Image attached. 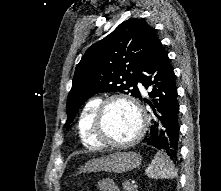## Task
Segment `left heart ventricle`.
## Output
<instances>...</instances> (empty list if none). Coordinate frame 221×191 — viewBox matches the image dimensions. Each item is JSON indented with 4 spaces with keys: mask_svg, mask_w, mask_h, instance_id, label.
<instances>
[{
    "mask_svg": "<svg viewBox=\"0 0 221 191\" xmlns=\"http://www.w3.org/2000/svg\"><path fill=\"white\" fill-rule=\"evenodd\" d=\"M139 117L136 110L127 102L111 103L106 112L107 137L113 142H124L131 139L139 128Z\"/></svg>",
    "mask_w": 221,
    "mask_h": 191,
    "instance_id": "left-heart-ventricle-1",
    "label": "left heart ventricle"
}]
</instances>
